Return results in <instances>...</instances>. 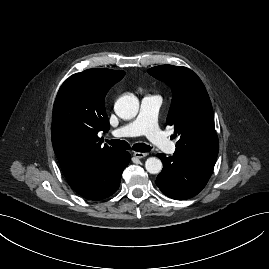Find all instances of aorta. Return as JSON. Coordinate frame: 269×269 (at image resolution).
<instances>
[{"label": "aorta", "mask_w": 269, "mask_h": 269, "mask_svg": "<svg viewBox=\"0 0 269 269\" xmlns=\"http://www.w3.org/2000/svg\"><path fill=\"white\" fill-rule=\"evenodd\" d=\"M115 113L122 119L134 118L139 110L138 98L133 94L120 97L114 106ZM162 162L156 157H150L145 162V168L150 174H158L162 170Z\"/></svg>", "instance_id": "aorta-1"}]
</instances>
